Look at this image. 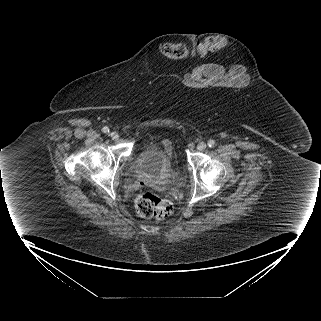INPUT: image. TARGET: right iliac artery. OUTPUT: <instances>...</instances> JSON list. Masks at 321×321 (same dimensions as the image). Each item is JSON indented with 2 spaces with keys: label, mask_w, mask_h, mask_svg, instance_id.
I'll return each mask as SVG.
<instances>
[{
  "label": "right iliac artery",
  "mask_w": 321,
  "mask_h": 321,
  "mask_svg": "<svg viewBox=\"0 0 321 321\" xmlns=\"http://www.w3.org/2000/svg\"><path fill=\"white\" fill-rule=\"evenodd\" d=\"M102 131L107 134V133H109V128H108V127H104V128L102 129Z\"/></svg>",
  "instance_id": "82829eb1"
}]
</instances>
